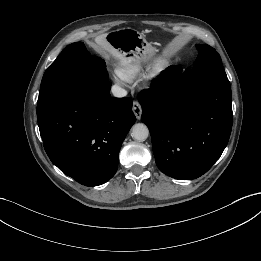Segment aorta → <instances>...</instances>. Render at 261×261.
<instances>
[{
  "mask_svg": "<svg viewBox=\"0 0 261 261\" xmlns=\"http://www.w3.org/2000/svg\"><path fill=\"white\" fill-rule=\"evenodd\" d=\"M131 136L137 141H144L149 136V130L143 123H137L132 127Z\"/></svg>",
  "mask_w": 261,
  "mask_h": 261,
  "instance_id": "762f6f07",
  "label": "aorta"
}]
</instances>
